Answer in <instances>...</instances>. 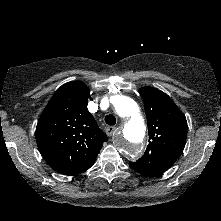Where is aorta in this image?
<instances>
[{"instance_id":"aorta-1","label":"aorta","mask_w":221,"mask_h":221,"mask_svg":"<svg viewBox=\"0 0 221 221\" xmlns=\"http://www.w3.org/2000/svg\"><path fill=\"white\" fill-rule=\"evenodd\" d=\"M114 108L123 119V126L116 136V145L128 158L140 155L145 137V123L134 100L127 96L115 97Z\"/></svg>"}]
</instances>
